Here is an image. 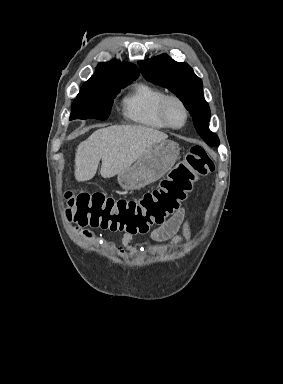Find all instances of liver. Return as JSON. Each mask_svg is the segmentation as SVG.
Segmentation results:
<instances>
[{
  "mask_svg": "<svg viewBox=\"0 0 283 384\" xmlns=\"http://www.w3.org/2000/svg\"><path fill=\"white\" fill-rule=\"evenodd\" d=\"M166 138L167 134L146 126L100 128L76 150L75 180H92L100 160L102 178H113L125 168H130L149 146Z\"/></svg>",
  "mask_w": 283,
  "mask_h": 384,
  "instance_id": "obj_1",
  "label": "liver"
}]
</instances>
